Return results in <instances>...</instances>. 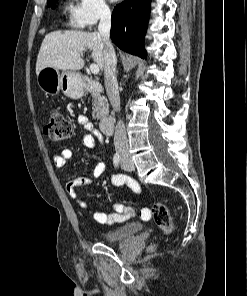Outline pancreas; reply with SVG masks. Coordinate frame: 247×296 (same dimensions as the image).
<instances>
[{"label":"pancreas","instance_id":"pancreas-1","mask_svg":"<svg viewBox=\"0 0 247 296\" xmlns=\"http://www.w3.org/2000/svg\"><path fill=\"white\" fill-rule=\"evenodd\" d=\"M93 97V112L92 117L94 119H101L108 115L109 109H108V103L106 101V98L104 96H101L99 93H94L92 95Z\"/></svg>","mask_w":247,"mask_h":296}]
</instances>
